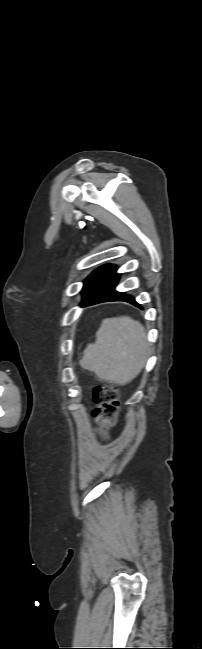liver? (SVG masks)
Listing matches in <instances>:
<instances>
[{
  "label": "liver",
  "mask_w": 202,
  "mask_h": 649,
  "mask_svg": "<svg viewBox=\"0 0 202 649\" xmlns=\"http://www.w3.org/2000/svg\"><path fill=\"white\" fill-rule=\"evenodd\" d=\"M148 352L140 322L128 316L108 318L102 321L96 341L87 345L79 364L101 380L124 386L139 374Z\"/></svg>",
  "instance_id": "6515ba94"
}]
</instances>
